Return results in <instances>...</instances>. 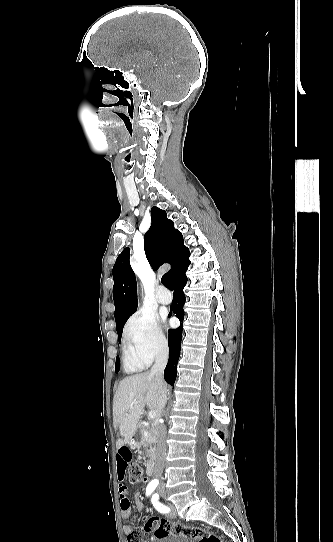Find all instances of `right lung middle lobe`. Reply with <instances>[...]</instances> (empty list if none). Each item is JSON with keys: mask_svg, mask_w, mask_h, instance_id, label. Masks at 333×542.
Here are the masks:
<instances>
[{"mask_svg": "<svg viewBox=\"0 0 333 542\" xmlns=\"http://www.w3.org/2000/svg\"><path fill=\"white\" fill-rule=\"evenodd\" d=\"M132 314H130L129 316H127L121 323H119V325H117L116 327V330H117V333H118V337H119V343H120V340H121V336H122V330H123V326L125 324V322L127 321V319L131 316ZM120 369V359L119 357L116 358V365H115V371L118 372Z\"/></svg>", "mask_w": 333, "mask_h": 542, "instance_id": "right-lung-middle-lobe-1", "label": "right lung middle lobe"}]
</instances>
